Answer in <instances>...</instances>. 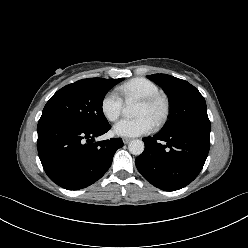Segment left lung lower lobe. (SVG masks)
I'll return each instance as SVG.
<instances>
[{
    "mask_svg": "<svg viewBox=\"0 0 248 248\" xmlns=\"http://www.w3.org/2000/svg\"><path fill=\"white\" fill-rule=\"evenodd\" d=\"M210 128L209 120H200L143 138L145 150L135 161L137 169L159 189L175 191L185 187L198 176L206 161Z\"/></svg>",
    "mask_w": 248,
    "mask_h": 248,
    "instance_id": "1",
    "label": "left lung lower lobe"
}]
</instances>
